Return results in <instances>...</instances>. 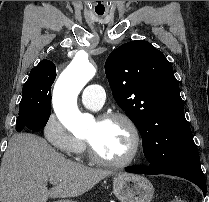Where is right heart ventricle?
<instances>
[{
	"label": "right heart ventricle",
	"instance_id": "right-heart-ventricle-1",
	"mask_svg": "<svg viewBox=\"0 0 209 202\" xmlns=\"http://www.w3.org/2000/svg\"><path fill=\"white\" fill-rule=\"evenodd\" d=\"M84 150V146L80 149L78 153H81Z\"/></svg>",
	"mask_w": 209,
	"mask_h": 202
}]
</instances>
